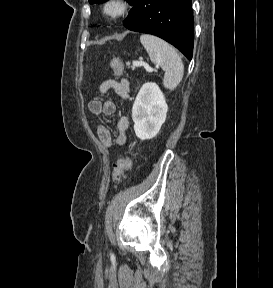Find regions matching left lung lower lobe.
<instances>
[{
	"mask_svg": "<svg viewBox=\"0 0 273 288\" xmlns=\"http://www.w3.org/2000/svg\"><path fill=\"white\" fill-rule=\"evenodd\" d=\"M123 25L156 35L192 59L194 24L191 0H135Z\"/></svg>",
	"mask_w": 273,
	"mask_h": 288,
	"instance_id": "left-lung-lower-lobe-1",
	"label": "left lung lower lobe"
}]
</instances>
